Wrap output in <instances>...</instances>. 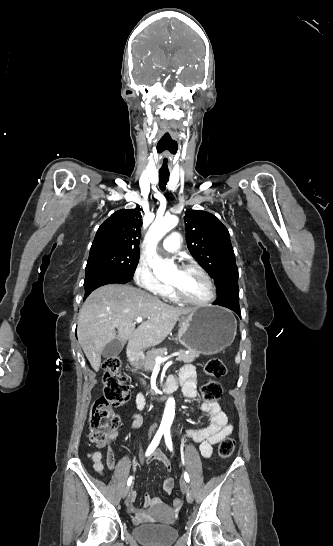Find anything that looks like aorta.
Here are the masks:
<instances>
[{
	"label": "aorta",
	"mask_w": 333,
	"mask_h": 546,
	"mask_svg": "<svg viewBox=\"0 0 333 546\" xmlns=\"http://www.w3.org/2000/svg\"><path fill=\"white\" fill-rule=\"evenodd\" d=\"M178 224V218L175 215L165 216L161 219H156L150 226L146 238L150 243L149 253H152V258L148 259L149 265L152 267L154 274L158 279L164 281L177 271L175 264L172 261H165L156 254V246L159 240L171 229ZM175 415V401L170 398L167 401L161 426L170 428Z\"/></svg>",
	"instance_id": "obj_1"
}]
</instances>
